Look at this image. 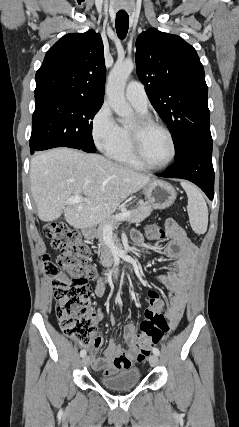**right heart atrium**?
Instances as JSON below:
<instances>
[{"instance_id": "d8ad5b80", "label": "right heart atrium", "mask_w": 239, "mask_h": 427, "mask_svg": "<svg viewBox=\"0 0 239 427\" xmlns=\"http://www.w3.org/2000/svg\"><path fill=\"white\" fill-rule=\"evenodd\" d=\"M91 133L97 148L106 154L119 143L121 127L107 104H103L94 115Z\"/></svg>"}]
</instances>
